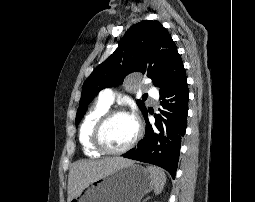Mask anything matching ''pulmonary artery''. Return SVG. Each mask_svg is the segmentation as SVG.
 <instances>
[{
    "label": "pulmonary artery",
    "mask_w": 255,
    "mask_h": 202,
    "mask_svg": "<svg viewBox=\"0 0 255 202\" xmlns=\"http://www.w3.org/2000/svg\"><path fill=\"white\" fill-rule=\"evenodd\" d=\"M147 92L149 94H155L156 91L153 87H148ZM115 95L116 94H115L114 90L107 88L100 93L99 99L101 101H103L104 103L111 105L115 99Z\"/></svg>",
    "instance_id": "pulmonary-artery-1"
}]
</instances>
